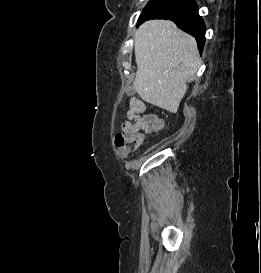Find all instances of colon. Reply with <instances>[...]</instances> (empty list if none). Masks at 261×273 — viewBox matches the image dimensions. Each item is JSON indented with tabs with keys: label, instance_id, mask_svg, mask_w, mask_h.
Masks as SVG:
<instances>
[{
	"label": "colon",
	"instance_id": "5ec220e1",
	"mask_svg": "<svg viewBox=\"0 0 261 273\" xmlns=\"http://www.w3.org/2000/svg\"><path fill=\"white\" fill-rule=\"evenodd\" d=\"M130 109L135 117H142L145 113L144 103L137 99L130 100ZM144 142V134L139 130L128 129L121 130L116 133L114 138V145L120 156H126L131 152L138 150Z\"/></svg>",
	"mask_w": 261,
	"mask_h": 273
}]
</instances>
